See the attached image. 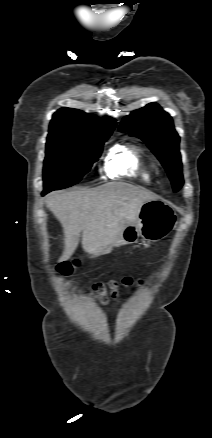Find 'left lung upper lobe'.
Wrapping results in <instances>:
<instances>
[{
    "label": "left lung upper lobe",
    "mask_w": 212,
    "mask_h": 438,
    "mask_svg": "<svg viewBox=\"0 0 212 438\" xmlns=\"http://www.w3.org/2000/svg\"><path fill=\"white\" fill-rule=\"evenodd\" d=\"M119 130H129L131 136L142 139L166 169L174 191L181 188L183 176L179 136L168 113L158 104L150 103L126 116Z\"/></svg>",
    "instance_id": "1"
}]
</instances>
